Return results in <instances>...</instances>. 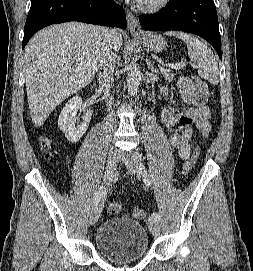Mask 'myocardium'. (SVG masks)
Returning a JSON list of instances; mask_svg holds the SVG:
<instances>
[{"instance_id":"1","label":"myocardium","mask_w":253,"mask_h":271,"mask_svg":"<svg viewBox=\"0 0 253 271\" xmlns=\"http://www.w3.org/2000/svg\"><path fill=\"white\" fill-rule=\"evenodd\" d=\"M169 2L170 0H147L141 7L146 12H157L164 9Z\"/></svg>"}]
</instances>
